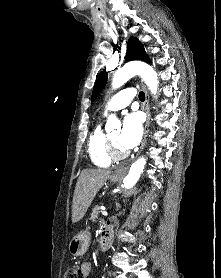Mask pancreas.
<instances>
[{"instance_id":"obj_1","label":"pancreas","mask_w":221,"mask_h":278,"mask_svg":"<svg viewBox=\"0 0 221 278\" xmlns=\"http://www.w3.org/2000/svg\"><path fill=\"white\" fill-rule=\"evenodd\" d=\"M100 213V207L99 206H95L92 210V214H91V219L93 221H95L98 218V215Z\"/></svg>"}]
</instances>
